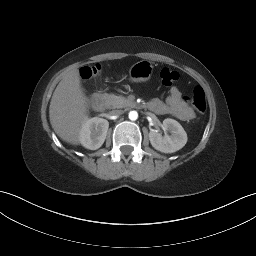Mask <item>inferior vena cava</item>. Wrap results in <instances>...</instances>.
Here are the masks:
<instances>
[{"mask_svg":"<svg viewBox=\"0 0 256 256\" xmlns=\"http://www.w3.org/2000/svg\"><path fill=\"white\" fill-rule=\"evenodd\" d=\"M122 113H123L122 110H113V111H111L112 115H121Z\"/></svg>","mask_w":256,"mask_h":256,"instance_id":"inferior-vena-cava-1","label":"inferior vena cava"}]
</instances>
